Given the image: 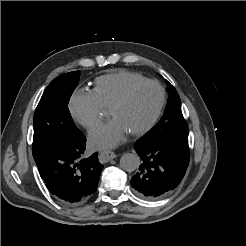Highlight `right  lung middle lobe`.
<instances>
[{
	"label": "right lung middle lobe",
	"mask_w": 246,
	"mask_h": 246,
	"mask_svg": "<svg viewBox=\"0 0 246 246\" xmlns=\"http://www.w3.org/2000/svg\"><path fill=\"white\" fill-rule=\"evenodd\" d=\"M79 76V71L62 74L45 89L33 119V156L53 142L78 134L79 129L73 122L68 103L78 85Z\"/></svg>",
	"instance_id": "right-lung-middle-lobe-1"
}]
</instances>
